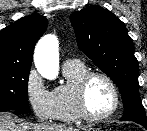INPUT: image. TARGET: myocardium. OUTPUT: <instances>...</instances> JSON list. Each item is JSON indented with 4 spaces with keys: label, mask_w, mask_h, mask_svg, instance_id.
I'll list each match as a JSON object with an SVG mask.
<instances>
[{
    "label": "myocardium",
    "mask_w": 147,
    "mask_h": 131,
    "mask_svg": "<svg viewBox=\"0 0 147 131\" xmlns=\"http://www.w3.org/2000/svg\"><path fill=\"white\" fill-rule=\"evenodd\" d=\"M94 77L103 78L110 86L113 93V105L111 109L103 115L91 114L86 105V89L90 80ZM120 93L114 80L105 72L102 71H87L77 81L75 85V104L76 109L81 119L88 122H101L107 120L118 110L120 106Z\"/></svg>",
    "instance_id": "obj_1"
}]
</instances>
